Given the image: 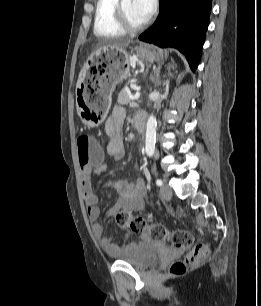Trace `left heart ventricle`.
<instances>
[{"label":"left heart ventricle","instance_id":"1","mask_svg":"<svg viewBox=\"0 0 261 306\" xmlns=\"http://www.w3.org/2000/svg\"><path fill=\"white\" fill-rule=\"evenodd\" d=\"M123 8L131 23L138 25L145 21L137 12L134 0H123Z\"/></svg>","mask_w":261,"mask_h":306}]
</instances>
